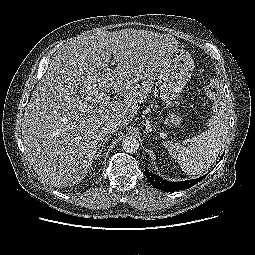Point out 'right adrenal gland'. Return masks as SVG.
Returning <instances> with one entry per match:
<instances>
[{
    "label": "right adrenal gland",
    "mask_w": 255,
    "mask_h": 255,
    "mask_svg": "<svg viewBox=\"0 0 255 255\" xmlns=\"http://www.w3.org/2000/svg\"><path fill=\"white\" fill-rule=\"evenodd\" d=\"M109 139H110V137H106V138L103 140L102 145H101L99 151L97 152V155H95V157H99V156L101 155V153H102V151H103V149H104V147H105V143H106Z\"/></svg>",
    "instance_id": "1"
}]
</instances>
